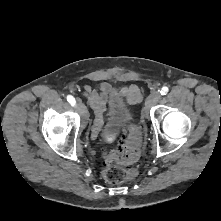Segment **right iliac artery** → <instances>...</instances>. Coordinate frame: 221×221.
Instances as JSON below:
<instances>
[{
	"mask_svg": "<svg viewBox=\"0 0 221 221\" xmlns=\"http://www.w3.org/2000/svg\"><path fill=\"white\" fill-rule=\"evenodd\" d=\"M67 101L72 105V106H75L76 105V100L73 96L71 95H68L67 96Z\"/></svg>",
	"mask_w": 221,
	"mask_h": 221,
	"instance_id": "82829eb1",
	"label": "right iliac artery"
}]
</instances>
